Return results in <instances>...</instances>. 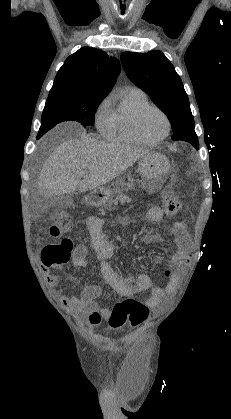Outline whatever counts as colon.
<instances>
[{
  "label": "colon",
  "mask_w": 231,
  "mask_h": 419,
  "mask_svg": "<svg viewBox=\"0 0 231 419\" xmlns=\"http://www.w3.org/2000/svg\"><path fill=\"white\" fill-rule=\"evenodd\" d=\"M164 213L168 218H174L181 210L180 199L173 194H166L163 201ZM73 227L71 217L62 214L50 225L49 233L57 238L62 233L70 231ZM73 250V243L70 239H62L56 243L46 245L42 250V261L45 266L64 264L69 261ZM163 280H172L173 272L169 265H166L162 272ZM148 316L146 307L133 299H125L117 302L111 309L108 317V324L114 330H119L130 323L136 327L143 323Z\"/></svg>",
  "instance_id": "obj_1"
}]
</instances>
